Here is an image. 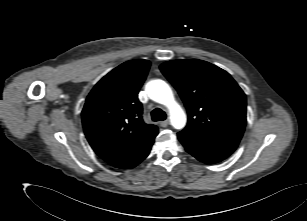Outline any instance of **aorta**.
I'll list each match as a JSON object with an SVG mask.
<instances>
[{
	"instance_id": "obj_1",
	"label": "aorta",
	"mask_w": 307,
	"mask_h": 221,
	"mask_svg": "<svg viewBox=\"0 0 307 221\" xmlns=\"http://www.w3.org/2000/svg\"><path fill=\"white\" fill-rule=\"evenodd\" d=\"M146 91L150 99L166 106L170 113L171 125L182 129L186 124V114L175 101L170 86L163 80L157 79L147 83Z\"/></svg>"
}]
</instances>
